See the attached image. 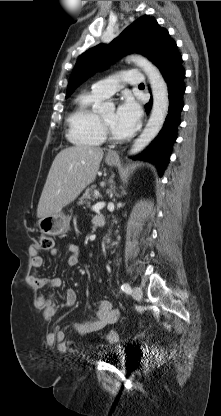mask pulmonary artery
Wrapping results in <instances>:
<instances>
[{"label": "pulmonary artery", "instance_id": "1", "mask_svg": "<svg viewBox=\"0 0 221 416\" xmlns=\"http://www.w3.org/2000/svg\"><path fill=\"white\" fill-rule=\"evenodd\" d=\"M144 79V75L139 69H128L96 82L92 86V91L105 98L114 94L124 84L139 85Z\"/></svg>", "mask_w": 221, "mask_h": 416}]
</instances>
